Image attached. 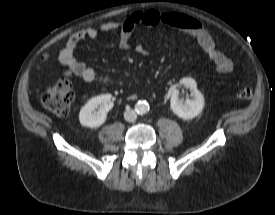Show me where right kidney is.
I'll list each match as a JSON object with an SVG mask.
<instances>
[{
  "mask_svg": "<svg viewBox=\"0 0 275 215\" xmlns=\"http://www.w3.org/2000/svg\"><path fill=\"white\" fill-rule=\"evenodd\" d=\"M113 105L111 94L91 98L80 110V123L90 128L100 127L106 121L107 113L113 108Z\"/></svg>",
  "mask_w": 275,
  "mask_h": 215,
  "instance_id": "right-kidney-1",
  "label": "right kidney"
}]
</instances>
